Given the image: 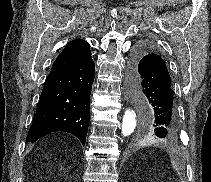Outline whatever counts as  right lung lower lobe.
<instances>
[{"mask_svg":"<svg viewBox=\"0 0 211 182\" xmlns=\"http://www.w3.org/2000/svg\"><path fill=\"white\" fill-rule=\"evenodd\" d=\"M94 73L89 43L79 39L69 42L46 79L27 141L64 131L85 145Z\"/></svg>","mask_w":211,"mask_h":182,"instance_id":"right-lung-lower-lobe-1","label":"right lung lower lobe"}]
</instances>
